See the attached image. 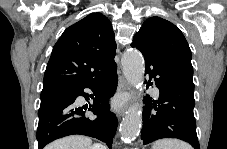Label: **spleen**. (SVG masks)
Listing matches in <instances>:
<instances>
[{
    "label": "spleen",
    "instance_id": "spleen-1",
    "mask_svg": "<svg viewBox=\"0 0 227 149\" xmlns=\"http://www.w3.org/2000/svg\"><path fill=\"white\" fill-rule=\"evenodd\" d=\"M152 149H191V147L177 139H162L154 142Z\"/></svg>",
    "mask_w": 227,
    "mask_h": 149
}]
</instances>
